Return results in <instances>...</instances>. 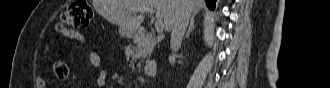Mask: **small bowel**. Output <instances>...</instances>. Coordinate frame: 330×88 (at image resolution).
<instances>
[{
  "instance_id": "small-bowel-1",
  "label": "small bowel",
  "mask_w": 330,
  "mask_h": 88,
  "mask_svg": "<svg viewBox=\"0 0 330 88\" xmlns=\"http://www.w3.org/2000/svg\"><path fill=\"white\" fill-rule=\"evenodd\" d=\"M61 34L65 37H68L72 40L78 41V42L88 46L87 37L78 30L66 28L61 31ZM87 58H88V61L90 62V64L95 69L98 70V78H97L98 85L99 86L104 85L106 78H107V71L102 62L101 57L92 48L88 47Z\"/></svg>"
}]
</instances>
